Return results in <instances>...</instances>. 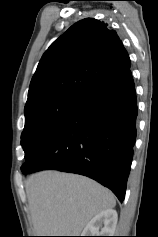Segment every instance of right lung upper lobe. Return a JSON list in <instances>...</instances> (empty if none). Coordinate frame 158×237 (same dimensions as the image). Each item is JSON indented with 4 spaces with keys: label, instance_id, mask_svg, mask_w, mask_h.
Segmentation results:
<instances>
[{
    "label": "right lung upper lobe",
    "instance_id": "cb5924a9",
    "mask_svg": "<svg viewBox=\"0 0 158 237\" xmlns=\"http://www.w3.org/2000/svg\"><path fill=\"white\" fill-rule=\"evenodd\" d=\"M116 31L96 19L72 25L43 54L31 80L25 109L50 98L85 101L130 68Z\"/></svg>",
    "mask_w": 158,
    "mask_h": 237
}]
</instances>
